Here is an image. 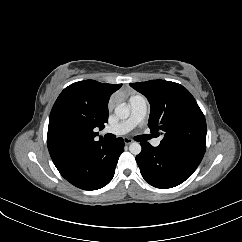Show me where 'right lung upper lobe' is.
I'll return each mask as SVG.
<instances>
[{
    "label": "right lung upper lobe",
    "instance_id": "right-lung-upper-lobe-1",
    "mask_svg": "<svg viewBox=\"0 0 242 242\" xmlns=\"http://www.w3.org/2000/svg\"><path fill=\"white\" fill-rule=\"evenodd\" d=\"M121 86L85 80L61 92L51 110L47 134L48 150L54 163L96 142L94 129H102L108 122L109 97Z\"/></svg>",
    "mask_w": 242,
    "mask_h": 242
}]
</instances>
